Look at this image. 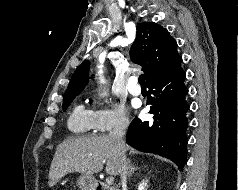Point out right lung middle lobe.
<instances>
[{
  "label": "right lung middle lobe",
  "instance_id": "obj_1",
  "mask_svg": "<svg viewBox=\"0 0 238 190\" xmlns=\"http://www.w3.org/2000/svg\"><path fill=\"white\" fill-rule=\"evenodd\" d=\"M76 95H78V93L64 96L63 111H65L68 108V106L71 104Z\"/></svg>",
  "mask_w": 238,
  "mask_h": 190
}]
</instances>
